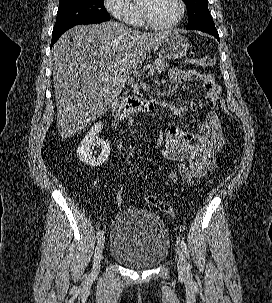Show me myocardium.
Instances as JSON below:
<instances>
[{"mask_svg": "<svg viewBox=\"0 0 272 303\" xmlns=\"http://www.w3.org/2000/svg\"><path fill=\"white\" fill-rule=\"evenodd\" d=\"M177 2L180 7L179 15L172 23L167 24V25H160V24L155 23L151 19L147 7L140 2L139 9H140V15H141L143 23L150 29L158 30V31H165V30H170V29L175 28L176 26H178L181 23V21L183 20V18L185 16V13H186V4H185L184 0H177Z\"/></svg>", "mask_w": 272, "mask_h": 303, "instance_id": "obj_1", "label": "myocardium"}]
</instances>
